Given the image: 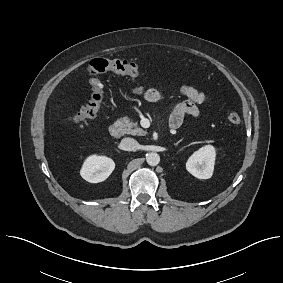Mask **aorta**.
I'll return each mask as SVG.
<instances>
[{
    "label": "aorta",
    "mask_w": 283,
    "mask_h": 283,
    "mask_svg": "<svg viewBox=\"0 0 283 283\" xmlns=\"http://www.w3.org/2000/svg\"><path fill=\"white\" fill-rule=\"evenodd\" d=\"M146 161L150 166H156L160 162V156L155 152L148 153L146 155Z\"/></svg>",
    "instance_id": "aorta-1"
}]
</instances>
